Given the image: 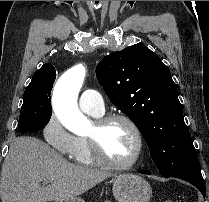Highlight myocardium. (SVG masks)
Instances as JSON below:
<instances>
[{"mask_svg":"<svg viewBox=\"0 0 209 202\" xmlns=\"http://www.w3.org/2000/svg\"><path fill=\"white\" fill-rule=\"evenodd\" d=\"M115 121H124L127 123L131 129L133 130L136 136V151L133 158L126 163L114 162L107 157L104 153L101 145V135L106 129V127ZM90 151L92 153L93 158L99 164L116 170H127L135 167L143 157L144 154V136L143 133L138 126V124L128 115L123 113H112L105 116H101L94 122V130L90 135L86 136Z\"/></svg>","mask_w":209,"mask_h":202,"instance_id":"1","label":"myocardium"}]
</instances>
